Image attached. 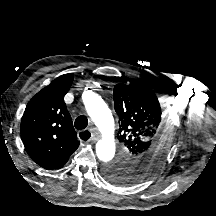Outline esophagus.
<instances>
[{
    "mask_svg": "<svg viewBox=\"0 0 216 216\" xmlns=\"http://www.w3.org/2000/svg\"><path fill=\"white\" fill-rule=\"evenodd\" d=\"M84 132L90 133V138L87 140V142L96 141V140L98 139L97 133H93V132H91L90 130H83V131L78 132V137H79L80 139H81L80 136H81L82 133H84Z\"/></svg>",
    "mask_w": 216,
    "mask_h": 216,
    "instance_id": "esophagus-1",
    "label": "esophagus"
}]
</instances>
